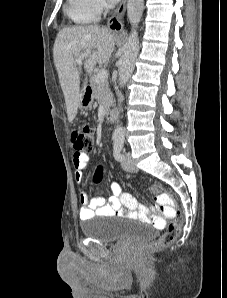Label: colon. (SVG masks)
Returning <instances> with one entry per match:
<instances>
[{
    "label": "colon",
    "mask_w": 227,
    "mask_h": 298,
    "mask_svg": "<svg viewBox=\"0 0 227 298\" xmlns=\"http://www.w3.org/2000/svg\"><path fill=\"white\" fill-rule=\"evenodd\" d=\"M71 143L74 150L91 151L94 144V129L89 125H81L75 128L71 134ZM101 178L102 171L99 169L94 179L95 181H99ZM149 194H158V205L155 206L154 211L156 215L150 218V223L156 228H161L165 225V219L158 215V213H163L165 218L170 219L171 222L159 238L145 243L140 247L141 254L156 251L173 243L178 237L183 225V215L175 207L174 201L168 193L161 192L160 186L154 185L149 189Z\"/></svg>",
    "instance_id": "1"
}]
</instances>
